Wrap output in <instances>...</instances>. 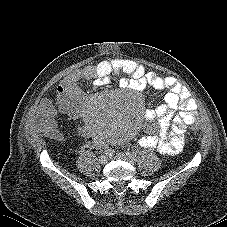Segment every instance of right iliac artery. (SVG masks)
Returning a JSON list of instances; mask_svg holds the SVG:
<instances>
[{
    "label": "right iliac artery",
    "instance_id": "82829eb1",
    "mask_svg": "<svg viewBox=\"0 0 227 227\" xmlns=\"http://www.w3.org/2000/svg\"><path fill=\"white\" fill-rule=\"evenodd\" d=\"M113 152H114V150H112L111 148H107V149H105V151H104V153H105L106 155H111V154H113Z\"/></svg>",
    "mask_w": 227,
    "mask_h": 227
}]
</instances>
